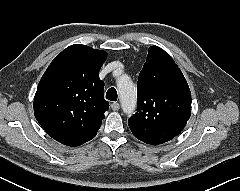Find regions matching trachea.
Here are the masks:
<instances>
[{"label":"trachea","mask_w":240,"mask_h":191,"mask_svg":"<svg viewBox=\"0 0 240 191\" xmlns=\"http://www.w3.org/2000/svg\"><path fill=\"white\" fill-rule=\"evenodd\" d=\"M106 98L110 101H117L118 95L115 88H110L106 93Z\"/></svg>","instance_id":"obj_1"}]
</instances>
